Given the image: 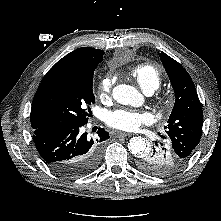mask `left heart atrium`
<instances>
[{
	"label": "left heart atrium",
	"mask_w": 221,
	"mask_h": 221,
	"mask_svg": "<svg viewBox=\"0 0 221 221\" xmlns=\"http://www.w3.org/2000/svg\"><path fill=\"white\" fill-rule=\"evenodd\" d=\"M105 122L108 126L122 130L135 131L141 125L151 121V116L147 112L133 109H116L105 114Z\"/></svg>",
	"instance_id": "1"
}]
</instances>
